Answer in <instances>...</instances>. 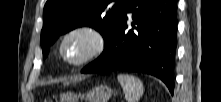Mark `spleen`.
<instances>
[{"label": "spleen", "instance_id": "obj_1", "mask_svg": "<svg viewBox=\"0 0 221 102\" xmlns=\"http://www.w3.org/2000/svg\"><path fill=\"white\" fill-rule=\"evenodd\" d=\"M117 79L122 86L126 101L138 102L144 91L141 80L129 74H119Z\"/></svg>", "mask_w": 221, "mask_h": 102}]
</instances>
